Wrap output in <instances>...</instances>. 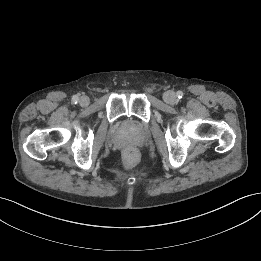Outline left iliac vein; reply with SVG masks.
I'll return each instance as SVG.
<instances>
[{"mask_svg": "<svg viewBox=\"0 0 261 261\" xmlns=\"http://www.w3.org/2000/svg\"><path fill=\"white\" fill-rule=\"evenodd\" d=\"M164 101L168 104H175L177 101L176 94L173 91H167L164 96Z\"/></svg>", "mask_w": 261, "mask_h": 261, "instance_id": "4c4485c4", "label": "left iliac vein"}]
</instances>
